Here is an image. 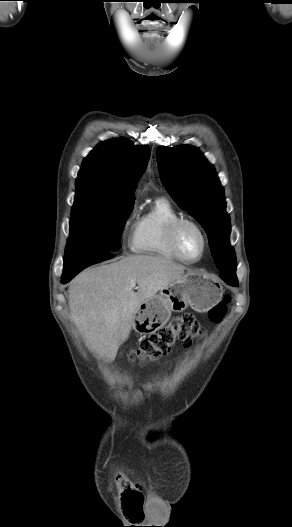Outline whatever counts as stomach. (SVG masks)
I'll list each match as a JSON object with an SVG mask.
<instances>
[{
	"instance_id": "obj_1",
	"label": "stomach",
	"mask_w": 292,
	"mask_h": 527,
	"mask_svg": "<svg viewBox=\"0 0 292 527\" xmlns=\"http://www.w3.org/2000/svg\"><path fill=\"white\" fill-rule=\"evenodd\" d=\"M223 288L214 278L188 271L171 282L158 295L143 302L134 313L133 329L139 334H153L168 322L171 312H183L191 307L207 312L222 299Z\"/></svg>"
}]
</instances>
